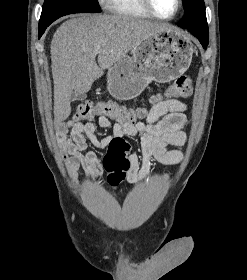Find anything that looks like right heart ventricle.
I'll use <instances>...</instances> for the list:
<instances>
[{"label":"right heart ventricle","instance_id":"1","mask_svg":"<svg viewBox=\"0 0 247 280\" xmlns=\"http://www.w3.org/2000/svg\"><path fill=\"white\" fill-rule=\"evenodd\" d=\"M107 8L113 14L135 18H151L142 0H106Z\"/></svg>","mask_w":247,"mask_h":280}]
</instances>
